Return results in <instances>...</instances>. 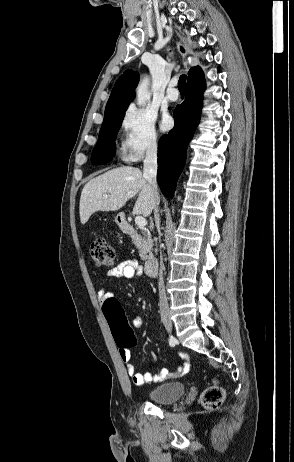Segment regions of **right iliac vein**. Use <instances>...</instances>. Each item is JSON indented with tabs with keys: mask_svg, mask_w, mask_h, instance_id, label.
<instances>
[{
	"mask_svg": "<svg viewBox=\"0 0 294 462\" xmlns=\"http://www.w3.org/2000/svg\"><path fill=\"white\" fill-rule=\"evenodd\" d=\"M162 322H163L165 328H166L169 332H171V331H172V328H173V324H172V321H171V319H170V316H169V315H164V316L162 317Z\"/></svg>",
	"mask_w": 294,
	"mask_h": 462,
	"instance_id": "obj_1",
	"label": "right iliac vein"
}]
</instances>
